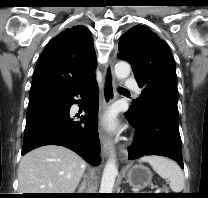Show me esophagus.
Masks as SVG:
<instances>
[{
    "mask_svg": "<svg viewBox=\"0 0 208 198\" xmlns=\"http://www.w3.org/2000/svg\"><path fill=\"white\" fill-rule=\"evenodd\" d=\"M116 94V80L113 72V62L110 61L104 70L103 82H102V108L103 113L105 109L111 104L115 99ZM100 140L102 144V151L104 155L110 156L114 152V144L110 138H108L104 132L100 133Z\"/></svg>",
    "mask_w": 208,
    "mask_h": 198,
    "instance_id": "1",
    "label": "esophagus"
}]
</instances>
